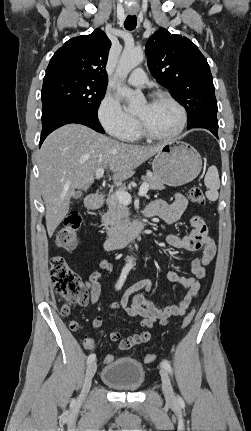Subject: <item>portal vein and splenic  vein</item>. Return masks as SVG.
<instances>
[{"label":"portal vein and splenic vein","instance_id":"18ae733b","mask_svg":"<svg viewBox=\"0 0 251 431\" xmlns=\"http://www.w3.org/2000/svg\"><path fill=\"white\" fill-rule=\"evenodd\" d=\"M103 175H104V169L103 168H100L96 171V174H95L96 179H100L101 177H103ZM148 189H149L148 184L146 182L142 183V185L140 186L138 195L139 196L146 195L148 192ZM116 197L124 205L130 204L131 200H132L131 195L126 191H117Z\"/></svg>","mask_w":251,"mask_h":431}]
</instances>
